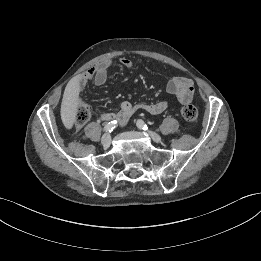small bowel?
Masks as SVG:
<instances>
[{
  "label": "small bowel",
  "mask_w": 261,
  "mask_h": 261,
  "mask_svg": "<svg viewBox=\"0 0 261 261\" xmlns=\"http://www.w3.org/2000/svg\"><path fill=\"white\" fill-rule=\"evenodd\" d=\"M120 64L125 68H130L133 65L132 61L126 57L120 59ZM110 65L111 61L106 60L81 74L73 87V93L78 95L83 90L85 84L90 80H93L97 86L103 85L107 80ZM166 91L169 94L174 95L179 103L189 104L193 100L195 89L191 79L174 76L167 82ZM167 107L168 104L166 101L141 104H133L129 101H124L121 103L119 110L115 112H104L100 115V119L102 121L116 120L121 125H125L131 116L139 110L152 115H158L163 113Z\"/></svg>",
  "instance_id": "1"
}]
</instances>
